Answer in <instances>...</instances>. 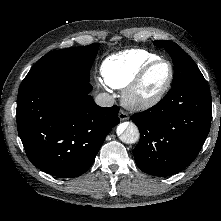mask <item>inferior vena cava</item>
I'll list each match as a JSON object with an SVG mask.
<instances>
[{"label": "inferior vena cava", "mask_w": 221, "mask_h": 221, "mask_svg": "<svg viewBox=\"0 0 221 221\" xmlns=\"http://www.w3.org/2000/svg\"><path fill=\"white\" fill-rule=\"evenodd\" d=\"M95 102L101 107H111L115 101L108 93H100L96 96Z\"/></svg>", "instance_id": "1"}]
</instances>
